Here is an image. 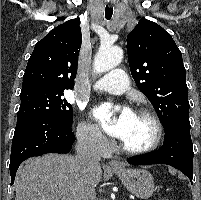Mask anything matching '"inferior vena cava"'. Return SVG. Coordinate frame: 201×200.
Segmentation results:
<instances>
[{
  "label": "inferior vena cava",
  "instance_id": "602c4592",
  "mask_svg": "<svg viewBox=\"0 0 201 200\" xmlns=\"http://www.w3.org/2000/svg\"><path fill=\"white\" fill-rule=\"evenodd\" d=\"M99 138L94 135H81L75 146L76 169L79 174L78 200H95L94 170L99 167L101 154Z\"/></svg>",
  "mask_w": 201,
  "mask_h": 200
}]
</instances>
